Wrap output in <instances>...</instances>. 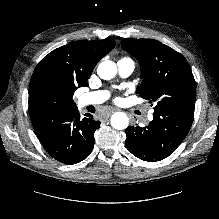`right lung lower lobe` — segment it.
<instances>
[{
  "instance_id": "obj_1",
  "label": "right lung lower lobe",
  "mask_w": 219,
  "mask_h": 219,
  "mask_svg": "<svg viewBox=\"0 0 219 219\" xmlns=\"http://www.w3.org/2000/svg\"><path fill=\"white\" fill-rule=\"evenodd\" d=\"M31 121L45 150L64 164L84 160L93 150L94 132L100 127L92 115L81 118L77 108L60 114H32Z\"/></svg>"
}]
</instances>
